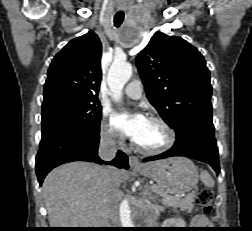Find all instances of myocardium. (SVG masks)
Returning <instances> with one entry per match:
<instances>
[{"label":"myocardium","mask_w":252,"mask_h":231,"mask_svg":"<svg viewBox=\"0 0 252 231\" xmlns=\"http://www.w3.org/2000/svg\"><path fill=\"white\" fill-rule=\"evenodd\" d=\"M149 120L154 121L156 123H159L164 128V130L166 131V134H167V141L161 147L153 148V149L144 148V147L140 146L136 141H134V147L136 148L137 151H139L142 154H146V155H158V154L165 153L166 151L171 149L173 147V145L175 144L176 132L173 129V127L162 117L151 116L149 118Z\"/></svg>","instance_id":"f54148a6"}]
</instances>
